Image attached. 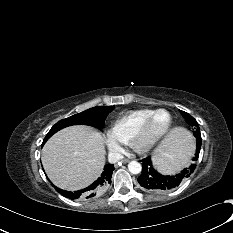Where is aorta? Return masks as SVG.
I'll list each match as a JSON object with an SVG mask.
<instances>
[{"label":"aorta","instance_id":"1","mask_svg":"<svg viewBox=\"0 0 233 233\" xmlns=\"http://www.w3.org/2000/svg\"><path fill=\"white\" fill-rule=\"evenodd\" d=\"M128 170L132 174H139L141 172V170H142V166L137 161H131L128 164Z\"/></svg>","mask_w":233,"mask_h":233}]
</instances>
